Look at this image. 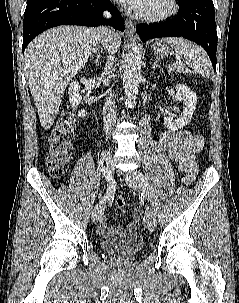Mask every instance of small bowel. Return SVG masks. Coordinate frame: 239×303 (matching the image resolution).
<instances>
[{
  "instance_id": "small-bowel-1",
  "label": "small bowel",
  "mask_w": 239,
  "mask_h": 303,
  "mask_svg": "<svg viewBox=\"0 0 239 303\" xmlns=\"http://www.w3.org/2000/svg\"><path fill=\"white\" fill-rule=\"evenodd\" d=\"M162 148L167 152L170 159L178 164V169L182 173V182L191 183L197 175L196 155L202 150L204 140L188 130L165 131L159 137ZM139 218V214H135ZM139 223L135 221L126 223L118 227H111L106 217L100 221L99 234L103 237H109L121 231L134 232Z\"/></svg>"
}]
</instances>
